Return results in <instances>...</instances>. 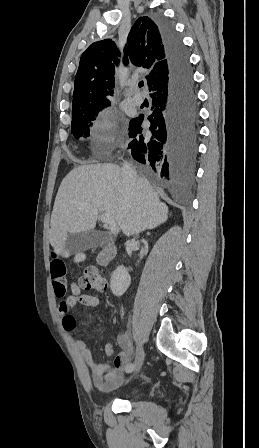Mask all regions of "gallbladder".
<instances>
[{"instance_id": "gallbladder-1", "label": "gallbladder", "mask_w": 259, "mask_h": 448, "mask_svg": "<svg viewBox=\"0 0 259 448\" xmlns=\"http://www.w3.org/2000/svg\"><path fill=\"white\" fill-rule=\"evenodd\" d=\"M111 240L110 232H99V230L81 232V234H68L66 250L73 256V254L85 252V250H90V248H103Z\"/></svg>"}]
</instances>
